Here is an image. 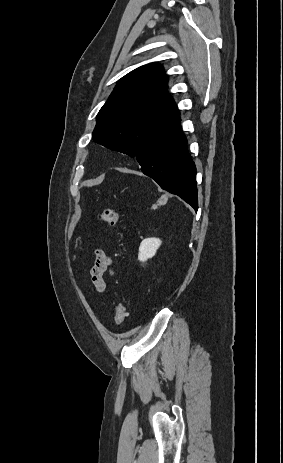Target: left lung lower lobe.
<instances>
[{"label": "left lung lower lobe", "mask_w": 283, "mask_h": 463, "mask_svg": "<svg viewBox=\"0 0 283 463\" xmlns=\"http://www.w3.org/2000/svg\"><path fill=\"white\" fill-rule=\"evenodd\" d=\"M141 171L162 189L181 197L195 211L198 209L196 167L187 150V139L180 117L158 131L137 154Z\"/></svg>", "instance_id": "left-lung-lower-lobe-1"}]
</instances>
